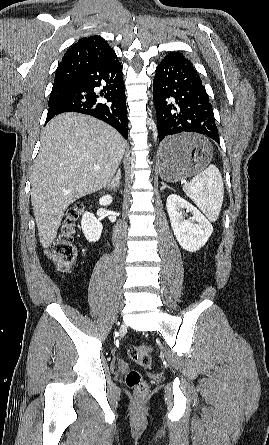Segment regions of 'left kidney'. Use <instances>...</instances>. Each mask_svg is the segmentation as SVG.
<instances>
[{
    "label": "left kidney",
    "mask_w": 269,
    "mask_h": 445,
    "mask_svg": "<svg viewBox=\"0 0 269 445\" xmlns=\"http://www.w3.org/2000/svg\"><path fill=\"white\" fill-rule=\"evenodd\" d=\"M166 207L172 230L180 246L189 252L203 247L213 232V227L205 216L176 194L168 196ZM186 213H191L192 217L186 218Z\"/></svg>",
    "instance_id": "5707ae66"
}]
</instances>
